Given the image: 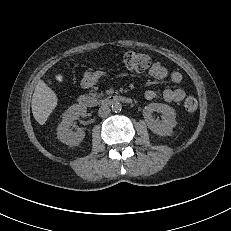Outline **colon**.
Instances as JSON below:
<instances>
[{"label":"colon","instance_id":"colon-1","mask_svg":"<svg viewBox=\"0 0 231 231\" xmlns=\"http://www.w3.org/2000/svg\"><path fill=\"white\" fill-rule=\"evenodd\" d=\"M123 63L129 71L141 73L150 67L151 58L143 53L129 51L124 54ZM183 105L187 112H194L198 107V102L195 97L189 96L185 99Z\"/></svg>","mask_w":231,"mask_h":231}]
</instances>
